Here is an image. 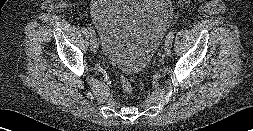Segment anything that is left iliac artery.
I'll return each instance as SVG.
<instances>
[{
	"mask_svg": "<svg viewBox=\"0 0 253 131\" xmlns=\"http://www.w3.org/2000/svg\"><path fill=\"white\" fill-rule=\"evenodd\" d=\"M174 34H175V31H174V30H171V31L167 34L165 42H167V41H171V42H172L173 39H174Z\"/></svg>",
	"mask_w": 253,
	"mask_h": 131,
	"instance_id": "obj_1",
	"label": "left iliac artery"
}]
</instances>
